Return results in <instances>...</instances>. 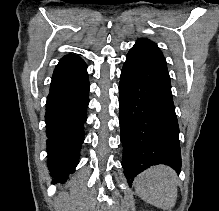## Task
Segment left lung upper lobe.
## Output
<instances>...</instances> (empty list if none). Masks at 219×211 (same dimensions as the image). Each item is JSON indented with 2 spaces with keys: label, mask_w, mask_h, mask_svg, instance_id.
I'll list each match as a JSON object with an SVG mask.
<instances>
[{
  "label": "left lung upper lobe",
  "mask_w": 219,
  "mask_h": 211,
  "mask_svg": "<svg viewBox=\"0 0 219 211\" xmlns=\"http://www.w3.org/2000/svg\"><path fill=\"white\" fill-rule=\"evenodd\" d=\"M131 49L166 65V60L158 46L148 39H138L136 44Z\"/></svg>",
  "instance_id": "5c2ea615"
}]
</instances>
